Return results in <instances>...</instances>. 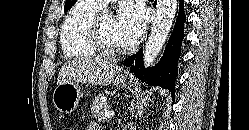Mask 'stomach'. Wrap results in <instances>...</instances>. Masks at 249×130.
<instances>
[{"label": "stomach", "instance_id": "1", "mask_svg": "<svg viewBox=\"0 0 249 130\" xmlns=\"http://www.w3.org/2000/svg\"><path fill=\"white\" fill-rule=\"evenodd\" d=\"M131 79L118 76L115 85L118 88H125ZM81 98L80 86L78 83H63L57 85L53 92V103L61 113L70 114L78 106Z\"/></svg>", "mask_w": 249, "mask_h": 130}]
</instances>
